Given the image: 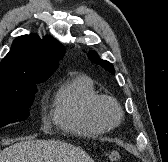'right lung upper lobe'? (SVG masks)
Listing matches in <instances>:
<instances>
[{
	"instance_id": "1",
	"label": "right lung upper lobe",
	"mask_w": 168,
	"mask_h": 162,
	"mask_svg": "<svg viewBox=\"0 0 168 162\" xmlns=\"http://www.w3.org/2000/svg\"><path fill=\"white\" fill-rule=\"evenodd\" d=\"M64 47L52 37L24 35L14 40L0 64V90L25 81H45L57 69Z\"/></svg>"
}]
</instances>
